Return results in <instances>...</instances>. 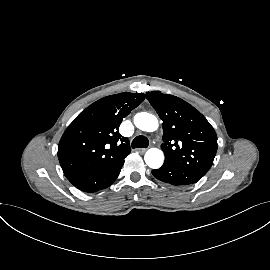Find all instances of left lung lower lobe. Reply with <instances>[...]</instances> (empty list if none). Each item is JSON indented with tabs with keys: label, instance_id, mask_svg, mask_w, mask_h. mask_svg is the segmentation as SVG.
I'll use <instances>...</instances> for the list:
<instances>
[{
	"label": "left lung lower lobe",
	"instance_id": "obj_1",
	"mask_svg": "<svg viewBox=\"0 0 270 270\" xmlns=\"http://www.w3.org/2000/svg\"><path fill=\"white\" fill-rule=\"evenodd\" d=\"M153 176L175 186H187L198 182L201 177L179 166L164 163L159 169L152 170Z\"/></svg>",
	"mask_w": 270,
	"mask_h": 270
}]
</instances>
